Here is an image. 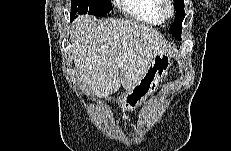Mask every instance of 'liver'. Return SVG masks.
<instances>
[{
	"label": "liver",
	"instance_id": "liver-1",
	"mask_svg": "<svg viewBox=\"0 0 231 151\" xmlns=\"http://www.w3.org/2000/svg\"><path fill=\"white\" fill-rule=\"evenodd\" d=\"M69 34L78 76L100 97L114 94L121 85L131 90L154 56L171 53L159 32L132 21L82 15Z\"/></svg>",
	"mask_w": 231,
	"mask_h": 151
}]
</instances>
